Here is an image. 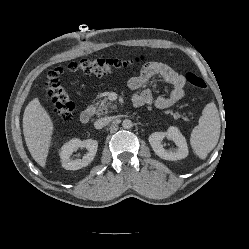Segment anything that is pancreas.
Masks as SVG:
<instances>
[{"mask_svg":"<svg viewBox=\"0 0 249 249\" xmlns=\"http://www.w3.org/2000/svg\"><path fill=\"white\" fill-rule=\"evenodd\" d=\"M114 109H116V105L112 103L111 101H108L107 98L96 102L95 106L93 107L94 113L98 116L107 114ZM168 113L171 114L174 119H178L181 117V115L178 112L173 113L171 111H168ZM183 119L185 121H189L187 117H183Z\"/></svg>","mask_w":249,"mask_h":249,"instance_id":"pancreas-1","label":"pancreas"}]
</instances>
